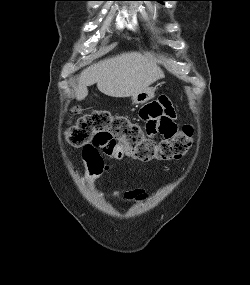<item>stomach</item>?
Masks as SVG:
<instances>
[{
  "instance_id": "0dacf381",
  "label": "stomach",
  "mask_w": 250,
  "mask_h": 285,
  "mask_svg": "<svg viewBox=\"0 0 250 285\" xmlns=\"http://www.w3.org/2000/svg\"><path fill=\"white\" fill-rule=\"evenodd\" d=\"M155 88L148 87L144 91L132 96V101L135 104H144L154 97Z\"/></svg>"
}]
</instances>
